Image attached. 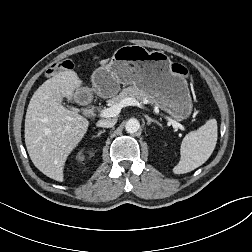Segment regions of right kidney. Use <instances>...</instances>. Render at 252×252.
I'll return each instance as SVG.
<instances>
[{
    "mask_svg": "<svg viewBox=\"0 0 252 252\" xmlns=\"http://www.w3.org/2000/svg\"><path fill=\"white\" fill-rule=\"evenodd\" d=\"M79 159H80V160H83V159H84V157H83V156H79Z\"/></svg>",
    "mask_w": 252,
    "mask_h": 252,
    "instance_id": "ca27d5eb",
    "label": "right kidney"
}]
</instances>
